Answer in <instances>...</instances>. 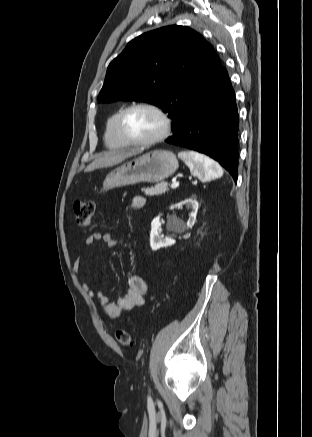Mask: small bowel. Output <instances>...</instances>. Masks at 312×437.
Masks as SVG:
<instances>
[{"mask_svg": "<svg viewBox=\"0 0 312 437\" xmlns=\"http://www.w3.org/2000/svg\"><path fill=\"white\" fill-rule=\"evenodd\" d=\"M143 196H134L129 203L132 210H140L145 205ZM101 241L107 248H115L119 245L116 237L109 233L96 232L86 238V246L90 247L94 242ZM78 269V261L74 263V270ZM86 293L97 300L104 314L111 318H118L122 312L133 310L144 304V296L147 292L146 281L140 276H132L129 280L126 294L116 302H111L109 297L99 289H95L88 284H84Z\"/></svg>", "mask_w": 312, "mask_h": 437, "instance_id": "c3829d8e", "label": "small bowel"}]
</instances>
